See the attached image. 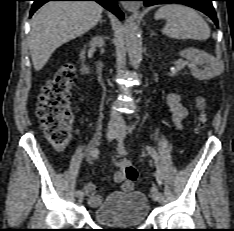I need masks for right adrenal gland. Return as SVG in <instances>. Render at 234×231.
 Listing matches in <instances>:
<instances>
[{"instance_id":"obj_1","label":"right adrenal gland","mask_w":234,"mask_h":231,"mask_svg":"<svg viewBox=\"0 0 234 231\" xmlns=\"http://www.w3.org/2000/svg\"><path fill=\"white\" fill-rule=\"evenodd\" d=\"M104 21H105V20L101 19V20H100V24H102Z\"/></svg>"}]
</instances>
